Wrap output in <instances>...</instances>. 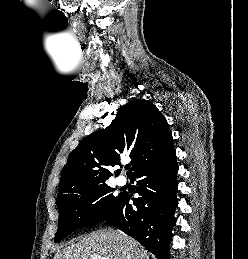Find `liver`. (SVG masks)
<instances>
[{
	"mask_svg": "<svg viewBox=\"0 0 248 259\" xmlns=\"http://www.w3.org/2000/svg\"><path fill=\"white\" fill-rule=\"evenodd\" d=\"M150 259L147 251L133 238L112 229L97 230L80 238L76 243L58 251L53 259Z\"/></svg>",
	"mask_w": 248,
	"mask_h": 259,
	"instance_id": "liver-1",
	"label": "liver"
}]
</instances>
